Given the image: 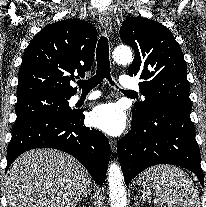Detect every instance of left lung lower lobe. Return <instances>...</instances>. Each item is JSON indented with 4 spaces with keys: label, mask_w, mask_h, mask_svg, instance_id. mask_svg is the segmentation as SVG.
<instances>
[{
    "label": "left lung lower lobe",
    "mask_w": 206,
    "mask_h": 207,
    "mask_svg": "<svg viewBox=\"0 0 206 207\" xmlns=\"http://www.w3.org/2000/svg\"><path fill=\"white\" fill-rule=\"evenodd\" d=\"M190 113V108L154 103L145 117L132 115L131 131L117 148L126 185L148 167L173 164L193 171L204 186Z\"/></svg>",
    "instance_id": "0a47b994"
}]
</instances>
